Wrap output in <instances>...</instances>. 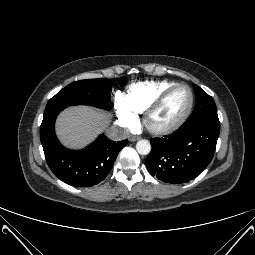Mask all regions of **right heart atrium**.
Listing matches in <instances>:
<instances>
[{
  "mask_svg": "<svg viewBox=\"0 0 255 255\" xmlns=\"http://www.w3.org/2000/svg\"><path fill=\"white\" fill-rule=\"evenodd\" d=\"M115 110L118 120L123 127L132 129L137 125V114L125 103L122 97L116 98Z\"/></svg>",
  "mask_w": 255,
  "mask_h": 255,
  "instance_id": "d8ad5b80",
  "label": "right heart atrium"
}]
</instances>
